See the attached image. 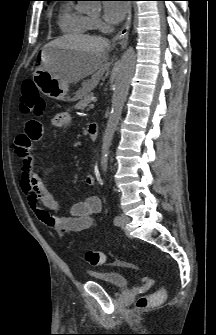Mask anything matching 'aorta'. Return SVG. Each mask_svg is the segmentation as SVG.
<instances>
[{"label":"aorta","instance_id":"762f6f07","mask_svg":"<svg viewBox=\"0 0 216 335\" xmlns=\"http://www.w3.org/2000/svg\"><path fill=\"white\" fill-rule=\"evenodd\" d=\"M136 54L133 47H129L122 55L117 66L112 95V105L107 125L103 134L101 149V166L104 171L107 169L110 146L121 118L122 109L126 101L131 79L134 75Z\"/></svg>","mask_w":216,"mask_h":335}]
</instances>
